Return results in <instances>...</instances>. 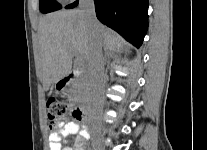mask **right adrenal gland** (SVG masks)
I'll return each mask as SVG.
<instances>
[{"mask_svg": "<svg viewBox=\"0 0 207 150\" xmlns=\"http://www.w3.org/2000/svg\"><path fill=\"white\" fill-rule=\"evenodd\" d=\"M114 56L113 52L109 51V50H105V57H104V63H106L107 61H109L112 57Z\"/></svg>", "mask_w": 207, "mask_h": 150, "instance_id": "1", "label": "right adrenal gland"}]
</instances>
